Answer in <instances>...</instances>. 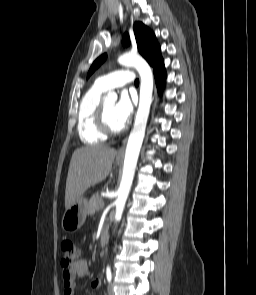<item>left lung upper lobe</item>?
Wrapping results in <instances>:
<instances>
[{"instance_id": "obj_1", "label": "left lung upper lobe", "mask_w": 256, "mask_h": 295, "mask_svg": "<svg viewBox=\"0 0 256 295\" xmlns=\"http://www.w3.org/2000/svg\"><path fill=\"white\" fill-rule=\"evenodd\" d=\"M134 34L138 51L147 60V62L152 67L164 64L160 46L156 41L154 33L148 27L143 25V23L136 22L134 24ZM122 43L124 46H128L130 44L129 35L127 33L124 34ZM105 59L106 54H103L94 61L88 72V77L105 61Z\"/></svg>"}]
</instances>
